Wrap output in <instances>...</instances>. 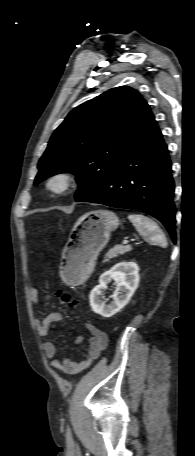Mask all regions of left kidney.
<instances>
[{
	"label": "left kidney",
	"mask_w": 195,
	"mask_h": 456,
	"mask_svg": "<svg viewBox=\"0 0 195 456\" xmlns=\"http://www.w3.org/2000/svg\"><path fill=\"white\" fill-rule=\"evenodd\" d=\"M111 279L115 280L116 289L112 296L113 301L106 305L102 300V293ZM139 280V267L135 262L117 263L100 276L99 285L91 291L89 299L92 310L106 318L113 316L130 301Z\"/></svg>",
	"instance_id": "left-kidney-1"
}]
</instances>
